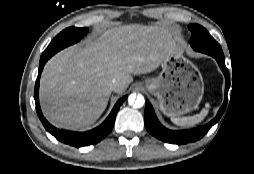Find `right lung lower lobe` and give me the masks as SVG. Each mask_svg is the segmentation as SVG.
<instances>
[{
  "instance_id": "right-lung-lower-lobe-1",
  "label": "right lung lower lobe",
  "mask_w": 254,
  "mask_h": 174,
  "mask_svg": "<svg viewBox=\"0 0 254 174\" xmlns=\"http://www.w3.org/2000/svg\"><path fill=\"white\" fill-rule=\"evenodd\" d=\"M47 58L41 59L39 63V72L38 77L35 83V92H34V99L36 103V111L38 114L39 119L41 120L43 126L45 129L52 134L57 140H59L62 143L75 146V147H81V146H88L92 144H96L99 141H101L103 138H105L106 135H108L115 122L116 114L119 110V107L124 102V100L127 98V96H124L121 98L114 106L113 110L109 114V116L106 118V120L98 127H96L93 130L87 131V132H71L66 130H59L52 125H50L45 117L43 116L40 105H39V80L41 76V72L43 70V67L45 63L47 62Z\"/></svg>"
}]
</instances>
